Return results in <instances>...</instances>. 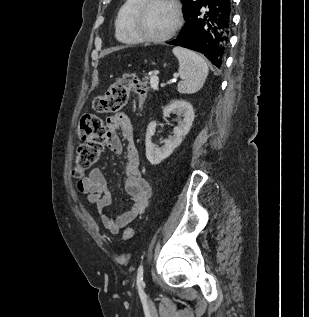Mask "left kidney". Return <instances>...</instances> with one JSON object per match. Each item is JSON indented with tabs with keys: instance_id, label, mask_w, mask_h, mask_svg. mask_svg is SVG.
<instances>
[{
	"instance_id": "obj_1",
	"label": "left kidney",
	"mask_w": 309,
	"mask_h": 317,
	"mask_svg": "<svg viewBox=\"0 0 309 317\" xmlns=\"http://www.w3.org/2000/svg\"><path fill=\"white\" fill-rule=\"evenodd\" d=\"M171 113L183 116V119L179 121L178 126L174 128L173 136L162 141L163 145L161 147H155L152 142V136L155 134L157 126L156 121H152L147 127L145 139L146 158L152 165H157L169 157L174 149L181 144L183 138L187 135L192 126L194 111L189 102L184 100L172 102L163 110L164 115H170Z\"/></svg>"
}]
</instances>
